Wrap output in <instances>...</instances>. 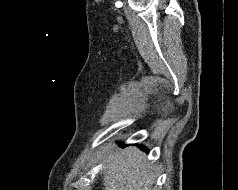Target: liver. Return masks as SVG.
Returning <instances> with one entry per match:
<instances>
[{"mask_svg": "<svg viewBox=\"0 0 238 190\" xmlns=\"http://www.w3.org/2000/svg\"><path fill=\"white\" fill-rule=\"evenodd\" d=\"M156 175L146 155L130 147L105 167L104 190H152Z\"/></svg>", "mask_w": 238, "mask_h": 190, "instance_id": "liver-1", "label": "liver"}]
</instances>
